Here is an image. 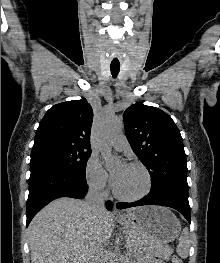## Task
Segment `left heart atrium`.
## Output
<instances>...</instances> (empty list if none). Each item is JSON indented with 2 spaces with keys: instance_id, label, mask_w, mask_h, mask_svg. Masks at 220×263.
Wrapping results in <instances>:
<instances>
[{
  "instance_id": "39dd6f15",
  "label": "left heart atrium",
  "mask_w": 220,
  "mask_h": 263,
  "mask_svg": "<svg viewBox=\"0 0 220 263\" xmlns=\"http://www.w3.org/2000/svg\"><path fill=\"white\" fill-rule=\"evenodd\" d=\"M127 164L121 163L116 172H114V178L126 167Z\"/></svg>"
}]
</instances>
